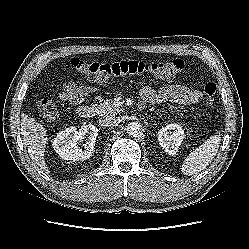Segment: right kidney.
Returning a JSON list of instances; mask_svg holds the SVG:
<instances>
[{"label":"right kidney","instance_id":"right-kidney-1","mask_svg":"<svg viewBox=\"0 0 249 249\" xmlns=\"http://www.w3.org/2000/svg\"><path fill=\"white\" fill-rule=\"evenodd\" d=\"M97 136L98 129L92 124L82 126L79 131L72 127L60 132L53 141V146L63 160H85L94 152ZM84 138L87 139L84 144V149L77 148L76 144Z\"/></svg>","mask_w":249,"mask_h":249}]
</instances>
